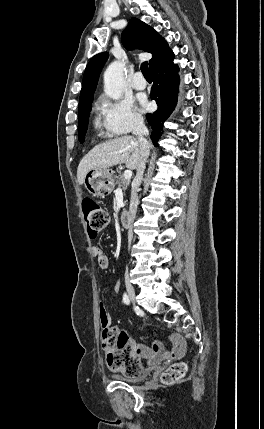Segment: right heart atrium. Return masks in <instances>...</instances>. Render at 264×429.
Instances as JSON below:
<instances>
[{
    "mask_svg": "<svg viewBox=\"0 0 264 429\" xmlns=\"http://www.w3.org/2000/svg\"><path fill=\"white\" fill-rule=\"evenodd\" d=\"M97 109L102 118L104 130L113 136L129 134L143 124L141 115L135 110L129 99L99 98Z\"/></svg>",
    "mask_w": 264,
    "mask_h": 429,
    "instance_id": "right-heart-atrium-1",
    "label": "right heart atrium"
}]
</instances>
